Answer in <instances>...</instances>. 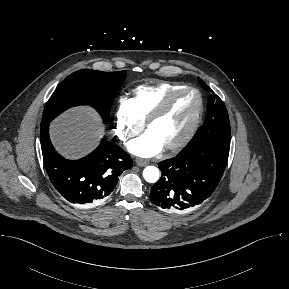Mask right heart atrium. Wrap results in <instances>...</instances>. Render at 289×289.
<instances>
[{
    "mask_svg": "<svg viewBox=\"0 0 289 289\" xmlns=\"http://www.w3.org/2000/svg\"><path fill=\"white\" fill-rule=\"evenodd\" d=\"M143 129V122L140 121L133 110L131 99L122 97L117 104L115 111L114 132L122 142L136 136Z\"/></svg>",
    "mask_w": 289,
    "mask_h": 289,
    "instance_id": "1",
    "label": "right heart atrium"
}]
</instances>
